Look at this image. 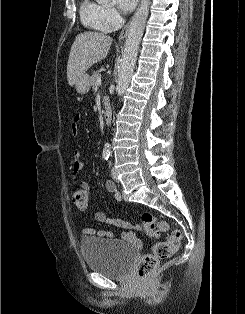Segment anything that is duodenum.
Instances as JSON below:
<instances>
[{
  "mask_svg": "<svg viewBox=\"0 0 245 314\" xmlns=\"http://www.w3.org/2000/svg\"><path fill=\"white\" fill-rule=\"evenodd\" d=\"M102 103L104 108V122L109 126L112 121V105L108 97H104Z\"/></svg>",
  "mask_w": 245,
  "mask_h": 314,
  "instance_id": "duodenum-1",
  "label": "duodenum"
}]
</instances>
